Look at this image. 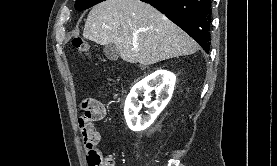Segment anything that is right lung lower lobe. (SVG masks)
<instances>
[{
    "label": "right lung lower lobe",
    "instance_id": "1",
    "mask_svg": "<svg viewBox=\"0 0 277 166\" xmlns=\"http://www.w3.org/2000/svg\"><path fill=\"white\" fill-rule=\"evenodd\" d=\"M151 4L178 25L209 53L211 0H141Z\"/></svg>",
    "mask_w": 277,
    "mask_h": 166
}]
</instances>
